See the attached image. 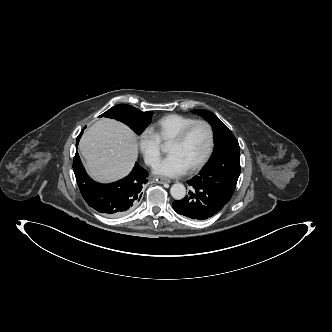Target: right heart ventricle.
<instances>
[{
  "label": "right heart ventricle",
  "instance_id": "right-heart-ventricle-1",
  "mask_svg": "<svg viewBox=\"0 0 332 332\" xmlns=\"http://www.w3.org/2000/svg\"><path fill=\"white\" fill-rule=\"evenodd\" d=\"M194 120L195 118L186 115L169 114L158 119L151 130L160 142H170L184 126Z\"/></svg>",
  "mask_w": 332,
  "mask_h": 332
}]
</instances>
